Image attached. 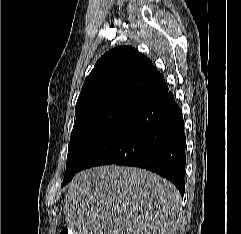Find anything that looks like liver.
Here are the masks:
<instances>
[{"label": "liver", "mask_w": 241, "mask_h": 234, "mask_svg": "<svg viewBox=\"0 0 241 234\" xmlns=\"http://www.w3.org/2000/svg\"><path fill=\"white\" fill-rule=\"evenodd\" d=\"M64 214L73 234H176L183 227L175 185L145 169L116 165L76 174Z\"/></svg>", "instance_id": "6515ba94"}]
</instances>
